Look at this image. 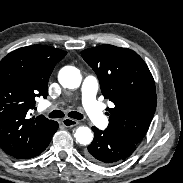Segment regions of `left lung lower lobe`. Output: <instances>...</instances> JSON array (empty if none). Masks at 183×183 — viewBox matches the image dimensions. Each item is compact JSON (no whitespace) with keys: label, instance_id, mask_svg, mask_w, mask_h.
<instances>
[{"label":"left lung lower lobe","instance_id":"1","mask_svg":"<svg viewBox=\"0 0 183 183\" xmlns=\"http://www.w3.org/2000/svg\"><path fill=\"white\" fill-rule=\"evenodd\" d=\"M94 139L85 154L87 158L101 165H112L129 157L136 149L137 143L105 129L101 131L92 127Z\"/></svg>","mask_w":183,"mask_h":183}]
</instances>
